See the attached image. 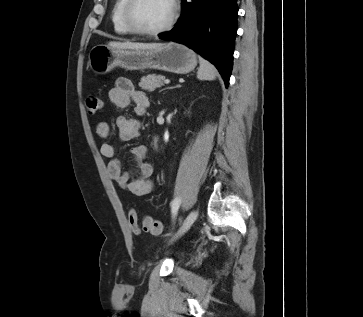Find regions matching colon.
Listing matches in <instances>:
<instances>
[{
  "label": "colon",
  "mask_w": 363,
  "mask_h": 317,
  "mask_svg": "<svg viewBox=\"0 0 363 317\" xmlns=\"http://www.w3.org/2000/svg\"><path fill=\"white\" fill-rule=\"evenodd\" d=\"M86 108L88 113L91 115L96 114L102 106V101L95 95H89L86 98ZM128 222L134 233H139L141 230L144 232L159 235L162 233L164 229V225L161 221L153 219L150 216H145L141 220V224L139 222L138 213L135 209H131L128 213Z\"/></svg>",
  "instance_id": "colon-1"
}]
</instances>
